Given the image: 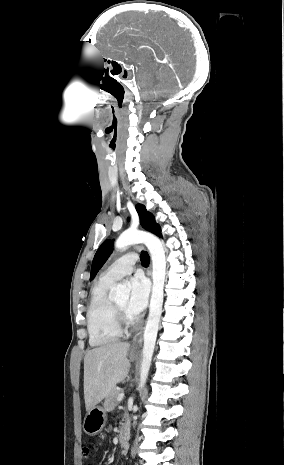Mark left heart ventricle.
<instances>
[{
  "label": "left heart ventricle",
  "instance_id": "1",
  "mask_svg": "<svg viewBox=\"0 0 284 465\" xmlns=\"http://www.w3.org/2000/svg\"><path fill=\"white\" fill-rule=\"evenodd\" d=\"M116 305L118 306V308L122 311V313H124L126 316L128 317H132L129 312H128V309H127V301L126 300H121V301H118L116 303Z\"/></svg>",
  "mask_w": 284,
  "mask_h": 465
}]
</instances>
